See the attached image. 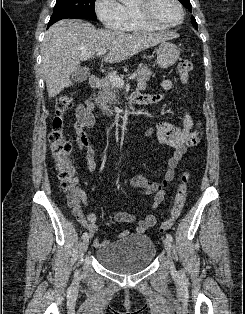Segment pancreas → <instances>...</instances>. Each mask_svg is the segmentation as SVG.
Instances as JSON below:
<instances>
[{"label":"pancreas","instance_id":"pancreas-1","mask_svg":"<svg viewBox=\"0 0 245 314\" xmlns=\"http://www.w3.org/2000/svg\"><path fill=\"white\" fill-rule=\"evenodd\" d=\"M136 74V81L138 83L149 81L150 78L155 75L150 69H148L147 66L144 65H140L137 68ZM121 78H123V76H121ZM118 95V87L113 85V83L110 81V78L107 76L101 81L100 89L95 99V103L102 110L103 114L112 116L114 111L110 109V105L114 103Z\"/></svg>","mask_w":245,"mask_h":314}]
</instances>
